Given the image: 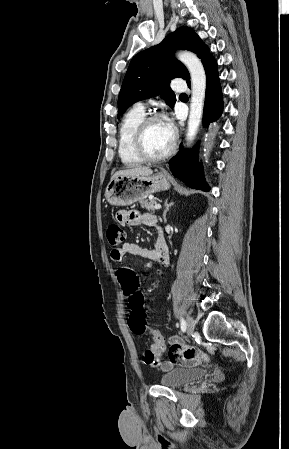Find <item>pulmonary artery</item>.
<instances>
[{"instance_id":"pulmonary-artery-1","label":"pulmonary artery","mask_w":289,"mask_h":449,"mask_svg":"<svg viewBox=\"0 0 289 449\" xmlns=\"http://www.w3.org/2000/svg\"><path fill=\"white\" fill-rule=\"evenodd\" d=\"M172 87L173 89L180 90L184 88V83L181 79H174L172 81ZM136 107L141 108L143 110L145 109L144 105L140 102L136 104Z\"/></svg>"}]
</instances>
